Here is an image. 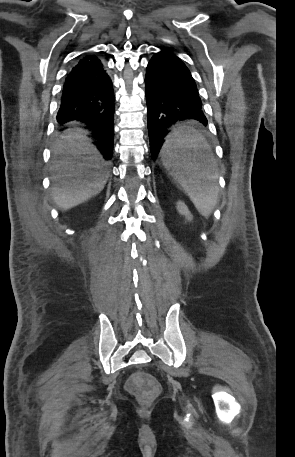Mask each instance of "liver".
Segmentation results:
<instances>
[{"label": "liver", "instance_id": "6515ba94", "mask_svg": "<svg viewBox=\"0 0 295 457\" xmlns=\"http://www.w3.org/2000/svg\"><path fill=\"white\" fill-rule=\"evenodd\" d=\"M87 131L75 128L66 131L67 142L59 144L57 154L69 159L53 163L52 197L62 210L71 209L99 194L107 181L103 158L86 137Z\"/></svg>", "mask_w": 295, "mask_h": 457}]
</instances>
